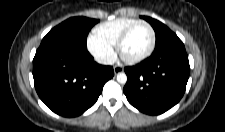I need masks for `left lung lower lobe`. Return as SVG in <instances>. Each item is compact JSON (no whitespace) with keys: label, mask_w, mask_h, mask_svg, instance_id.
Here are the masks:
<instances>
[{"label":"left lung lower lobe","mask_w":225,"mask_h":132,"mask_svg":"<svg viewBox=\"0 0 225 132\" xmlns=\"http://www.w3.org/2000/svg\"><path fill=\"white\" fill-rule=\"evenodd\" d=\"M190 66L183 44L153 53L133 67H126L123 89L129 103L143 113L158 115L182 98Z\"/></svg>","instance_id":"obj_1"}]
</instances>
